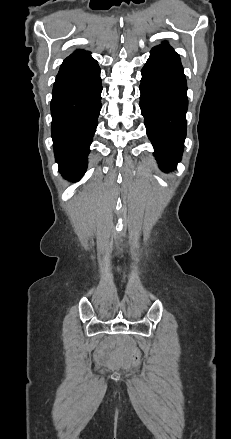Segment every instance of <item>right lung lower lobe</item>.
Instances as JSON below:
<instances>
[{
    "label": "right lung lower lobe",
    "instance_id": "obj_1",
    "mask_svg": "<svg viewBox=\"0 0 231 439\" xmlns=\"http://www.w3.org/2000/svg\"><path fill=\"white\" fill-rule=\"evenodd\" d=\"M102 84L91 56L59 71L52 92V139L59 171L78 181L85 173L89 146L98 124Z\"/></svg>",
    "mask_w": 231,
    "mask_h": 439
}]
</instances>
